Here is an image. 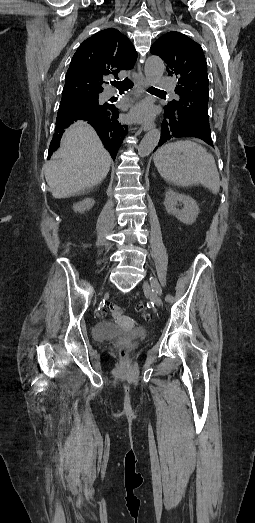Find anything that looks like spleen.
<instances>
[{"instance_id": "3e777b00", "label": "spleen", "mask_w": 255, "mask_h": 523, "mask_svg": "<svg viewBox=\"0 0 255 523\" xmlns=\"http://www.w3.org/2000/svg\"><path fill=\"white\" fill-rule=\"evenodd\" d=\"M153 160L160 176L169 184L183 188L202 184L212 194L219 192L220 178L214 156L196 142L180 140L161 146Z\"/></svg>"}]
</instances>
